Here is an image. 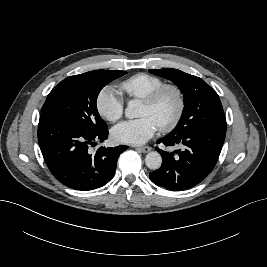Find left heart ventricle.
<instances>
[{
	"label": "left heart ventricle",
	"instance_id": "b2bd125f",
	"mask_svg": "<svg viewBox=\"0 0 267 267\" xmlns=\"http://www.w3.org/2000/svg\"><path fill=\"white\" fill-rule=\"evenodd\" d=\"M176 110V95L172 91H167L155 106L150 107L142 103L138 115L150 117L158 127H161L172 119Z\"/></svg>",
	"mask_w": 267,
	"mask_h": 267
}]
</instances>
